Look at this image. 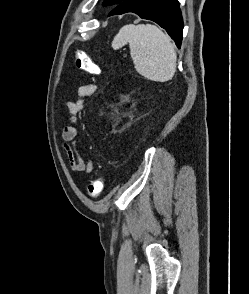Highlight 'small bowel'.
Returning <instances> with one entry per match:
<instances>
[{
  "label": "small bowel",
  "instance_id": "c3829d8e",
  "mask_svg": "<svg viewBox=\"0 0 249 294\" xmlns=\"http://www.w3.org/2000/svg\"><path fill=\"white\" fill-rule=\"evenodd\" d=\"M97 86L88 84L80 86L77 90V99L75 101H65L62 107L66 108L70 115L71 125L64 127L61 131V139L64 142L63 150L67 157L69 166L72 171L84 174H90L93 171L94 165L91 159L85 158L78 147V130L76 123L78 122L81 113L84 109V100L95 94ZM72 143V146L68 144Z\"/></svg>",
  "mask_w": 249,
  "mask_h": 294
}]
</instances>
